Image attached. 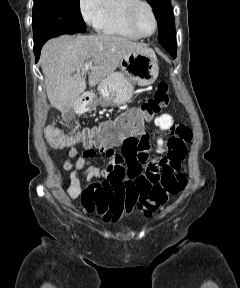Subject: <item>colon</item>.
<instances>
[{
	"label": "colon",
	"instance_id": "5ec220e1",
	"mask_svg": "<svg viewBox=\"0 0 240 288\" xmlns=\"http://www.w3.org/2000/svg\"><path fill=\"white\" fill-rule=\"evenodd\" d=\"M170 103L169 86L160 82L154 95L139 107L130 109L115 120L103 123L95 128L87 129L75 136L64 135L58 128L47 129L45 138L53 148H65L77 143L93 145L105 141H117L124 137L138 134L162 109ZM187 185L185 174H164L160 182L153 185L148 193L138 198V208L145 215L150 216L161 206L176 195Z\"/></svg>",
	"mask_w": 240,
	"mask_h": 288
}]
</instances>
